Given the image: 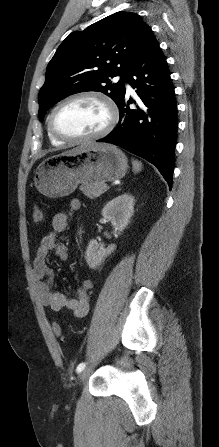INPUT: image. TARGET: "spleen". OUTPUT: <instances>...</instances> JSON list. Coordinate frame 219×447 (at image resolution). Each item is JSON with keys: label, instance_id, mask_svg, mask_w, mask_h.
<instances>
[{"label": "spleen", "instance_id": "obj_1", "mask_svg": "<svg viewBox=\"0 0 219 447\" xmlns=\"http://www.w3.org/2000/svg\"><path fill=\"white\" fill-rule=\"evenodd\" d=\"M132 164H133V171L134 172H138V171L141 170L142 164L139 161L133 160Z\"/></svg>", "mask_w": 219, "mask_h": 447}]
</instances>
